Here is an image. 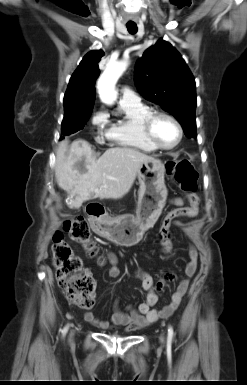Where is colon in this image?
<instances>
[{"mask_svg": "<svg viewBox=\"0 0 247 385\" xmlns=\"http://www.w3.org/2000/svg\"><path fill=\"white\" fill-rule=\"evenodd\" d=\"M166 173L175 180L181 191L188 194L190 201H194L197 190L198 174L194 165L187 159L166 163ZM184 210L170 211L159 230V238L165 249L171 248L170 227L174 220L184 214ZM64 233L84 246L90 257L98 256V247L91 238L89 227L81 216L66 219L60 231L53 238L52 256L56 269V278L65 296L83 309H90L94 305L96 283L90 272L83 267L82 260L74 253L64 239ZM102 262V258H98Z\"/></svg>", "mask_w": 247, "mask_h": 385, "instance_id": "obj_1", "label": "colon"}]
</instances>
